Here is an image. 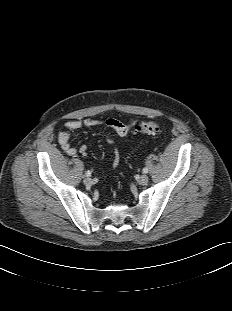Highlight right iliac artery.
Instances as JSON below:
<instances>
[{"label":"right iliac artery","instance_id":"right-iliac-artery-1","mask_svg":"<svg viewBox=\"0 0 232 311\" xmlns=\"http://www.w3.org/2000/svg\"><path fill=\"white\" fill-rule=\"evenodd\" d=\"M85 175H86L87 177H89V176H91V172H90V171H87V172L85 173Z\"/></svg>","mask_w":232,"mask_h":311}]
</instances>
